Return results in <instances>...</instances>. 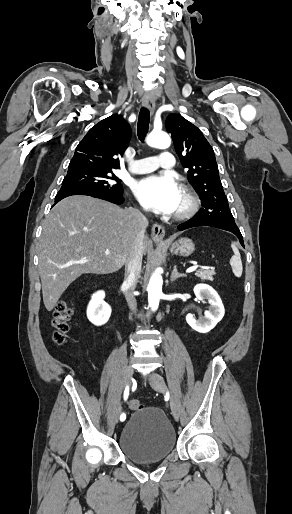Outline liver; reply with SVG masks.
Here are the masks:
<instances>
[{
  "instance_id": "liver-1",
  "label": "liver",
  "mask_w": 292,
  "mask_h": 514,
  "mask_svg": "<svg viewBox=\"0 0 292 514\" xmlns=\"http://www.w3.org/2000/svg\"><path fill=\"white\" fill-rule=\"evenodd\" d=\"M131 210L90 196H69L54 206L42 224L38 254L48 312L81 274H112L124 266L136 236ZM147 246L144 236V254Z\"/></svg>"
}]
</instances>
